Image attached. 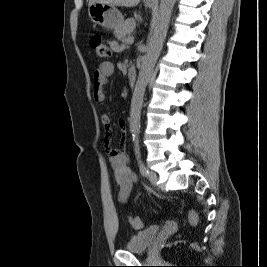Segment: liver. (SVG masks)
<instances>
[{
	"mask_svg": "<svg viewBox=\"0 0 267 267\" xmlns=\"http://www.w3.org/2000/svg\"><path fill=\"white\" fill-rule=\"evenodd\" d=\"M139 2L140 0H89V6L94 3H101L120 7H135Z\"/></svg>",
	"mask_w": 267,
	"mask_h": 267,
	"instance_id": "obj_1",
	"label": "liver"
}]
</instances>
